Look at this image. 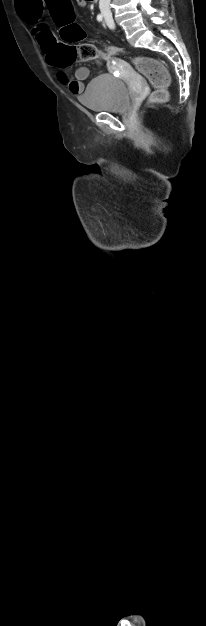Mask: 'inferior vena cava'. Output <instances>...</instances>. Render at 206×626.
Segmentation results:
<instances>
[{"mask_svg": "<svg viewBox=\"0 0 206 626\" xmlns=\"http://www.w3.org/2000/svg\"><path fill=\"white\" fill-rule=\"evenodd\" d=\"M99 8L103 16L110 17V0H99Z\"/></svg>", "mask_w": 206, "mask_h": 626, "instance_id": "602c4592", "label": "inferior vena cava"}]
</instances>
